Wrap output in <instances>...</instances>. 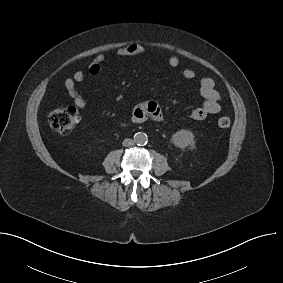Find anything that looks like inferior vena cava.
I'll list each match as a JSON object with an SVG mask.
<instances>
[{
	"mask_svg": "<svg viewBox=\"0 0 283 283\" xmlns=\"http://www.w3.org/2000/svg\"><path fill=\"white\" fill-rule=\"evenodd\" d=\"M134 143H135L134 140L129 139V138L124 139V141L122 142L123 146L125 147L133 146Z\"/></svg>",
	"mask_w": 283,
	"mask_h": 283,
	"instance_id": "inferior-vena-cava-1",
	"label": "inferior vena cava"
}]
</instances>
